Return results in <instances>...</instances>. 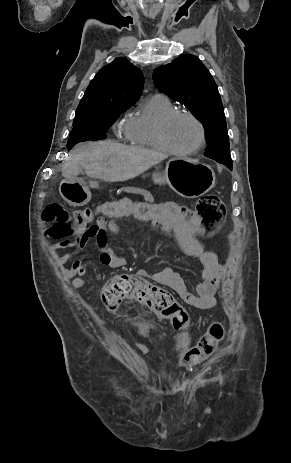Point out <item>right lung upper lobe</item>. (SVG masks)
<instances>
[{
  "label": "right lung upper lobe",
  "mask_w": 291,
  "mask_h": 463,
  "mask_svg": "<svg viewBox=\"0 0 291 463\" xmlns=\"http://www.w3.org/2000/svg\"><path fill=\"white\" fill-rule=\"evenodd\" d=\"M144 77L139 68L118 57L101 68L88 85L76 113L106 103L134 104L141 96Z\"/></svg>",
  "instance_id": "1"
}]
</instances>
